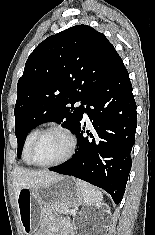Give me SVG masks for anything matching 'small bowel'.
<instances>
[{
  "instance_id": "1",
  "label": "small bowel",
  "mask_w": 155,
  "mask_h": 235,
  "mask_svg": "<svg viewBox=\"0 0 155 235\" xmlns=\"http://www.w3.org/2000/svg\"><path fill=\"white\" fill-rule=\"evenodd\" d=\"M62 225H64V223H62ZM45 235H68V230L63 227L61 231H59L54 224L48 223Z\"/></svg>"
}]
</instances>
